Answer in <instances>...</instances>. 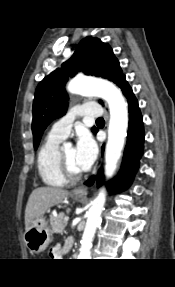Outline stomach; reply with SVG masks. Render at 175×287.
Masks as SVG:
<instances>
[{"label":"stomach","mask_w":175,"mask_h":287,"mask_svg":"<svg viewBox=\"0 0 175 287\" xmlns=\"http://www.w3.org/2000/svg\"><path fill=\"white\" fill-rule=\"evenodd\" d=\"M75 198L80 200L82 197L76 196ZM52 239V231L44 218L33 220L24 233V242L32 253L44 251Z\"/></svg>","instance_id":"0dacf381"}]
</instances>
